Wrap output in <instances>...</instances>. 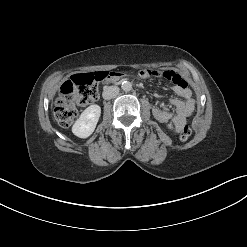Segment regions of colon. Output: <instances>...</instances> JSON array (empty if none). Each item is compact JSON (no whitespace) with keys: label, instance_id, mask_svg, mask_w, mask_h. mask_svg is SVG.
<instances>
[{"label":"colon","instance_id":"5ec220e1","mask_svg":"<svg viewBox=\"0 0 247 247\" xmlns=\"http://www.w3.org/2000/svg\"><path fill=\"white\" fill-rule=\"evenodd\" d=\"M112 73L100 71L72 76L63 83L56 100L54 115L59 124L69 128L77 115L78 107L93 103L98 98L99 83L110 78ZM192 134L189 126H183L179 136L186 141Z\"/></svg>","mask_w":247,"mask_h":247}]
</instances>
